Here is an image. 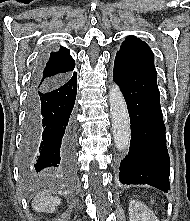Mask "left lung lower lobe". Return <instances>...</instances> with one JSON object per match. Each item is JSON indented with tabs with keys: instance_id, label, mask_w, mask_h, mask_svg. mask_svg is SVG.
<instances>
[{
	"instance_id": "0a47b994",
	"label": "left lung lower lobe",
	"mask_w": 190,
	"mask_h": 221,
	"mask_svg": "<svg viewBox=\"0 0 190 221\" xmlns=\"http://www.w3.org/2000/svg\"><path fill=\"white\" fill-rule=\"evenodd\" d=\"M113 77L126 100L131 123L129 152L120 163L119 180L167 192L170 159L155 67L116 55Z\"/></svg>"
}]
</instances>
